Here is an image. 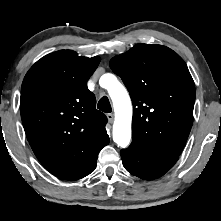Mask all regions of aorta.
I'll list each match as a JSON object with an SVG mask.
<instances>
[{"label":"aorta","instance_id":"obj_1","mask_svg":"<svg viewBox=\"0 0 221 221\" xmlns=\"http://www.w3.org/2000/svg\"><path fill=\"white\" fill-rule=\"evenodd\" d=\"M103 87L112 99L115 121L113 140L121 148H126L131 141L132 103L125 87L112 74H106Z\"/></svg>","mask_w":221,"mask_h":221}]
</instances>
